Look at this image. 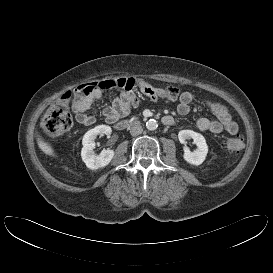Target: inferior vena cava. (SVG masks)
I'll return each instance as SVG.
<instances>
[{"mask_svg": "<svg viewBox=\"0 0 273 273\" xmlns=\"http://www.w3.org/2000/svg\"><path fill=\"white\" fill-rule=\"evenodd\" d=\"M143 131V128L140 124H134L132 125V127L130 128V134L132 136H138L139 134H141Z\"/></svg>", "mask_w": 273, "mask_h": 273, "instance_id": "obj_1", "label": "inferior vena cava"}]
</instances>
